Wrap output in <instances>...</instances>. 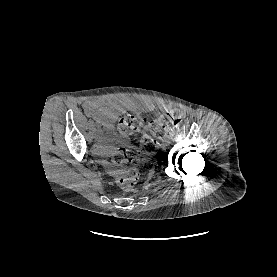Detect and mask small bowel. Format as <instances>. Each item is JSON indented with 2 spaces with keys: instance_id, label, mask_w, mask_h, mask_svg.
I'll return each mask as SVG.
<instances>
[{
  "instance_id": "c3829d8e",
  "label": "small bowel",
  "mask_w": 277,
  "mask_h": 277,
  "mask_svg": "<svg viewBox=\"0 0 277 277\" xmlns=\"http://www.w3.org/2000/svg\"><path fill=\"white\" fill-rule=\"evenodd\" d=\"M124 105L125 102H115L104 98H93L84 102L83 108L85 113L96 122L98 127L103 129L98 134L99 144L97 151L99 153L106 152L104 142L110 137L109 132L112 130L114 122L123 110ZM138 106L143 110H155L159 113L170 110V107L166 105H154L149 102L139 104ZM117 140L123 141V138L119 137ZM106 165L110 166L109 163H106Z\"/></svg>"
}]
</instances>
